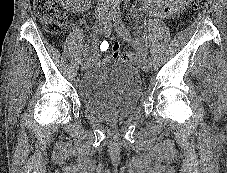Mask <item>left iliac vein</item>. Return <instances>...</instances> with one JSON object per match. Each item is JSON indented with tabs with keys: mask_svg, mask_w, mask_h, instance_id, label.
<instances>
[{
	"mask_svg": "<svg viewBox=\"0 0 227 173\" xmlns=\"http://www.w3.org/2000/svg\"><path fill=\"white\" fill-rule=\"evenodd\" d=\"M150 67H151V60L149 58L145 59L141 63V68L144 72H148L150 70Z\"/></svg>",
	"mask_w": 227,
	"mask_h": 173,
	"instance_id": "1",
	"label": "left iliac vein"
}]
</instances>
